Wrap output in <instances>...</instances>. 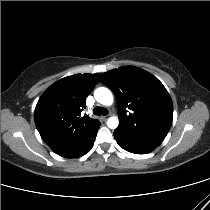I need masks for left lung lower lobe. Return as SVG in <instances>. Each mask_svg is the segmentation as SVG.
Returning <instances> with one entry per match:
<instances>
[{
	"mask_svg": "<svg viewBox=\"0 0 210 210\" xmlns=\"http://www.w3.org/2000/svg\"><path fill=\"white\" fill-rule=\"evenodd\" d=\"M115 140L124 150L135 154H146L153 151L157 146L152 144H145L134 142L125 138L119 137L114 134Z\"/></svg>",
	"mask_w": 210,
	"mask_h": 210,
	"instance_id": "obj_1",
	"label": "left lung lower lobe"
}]
</instances>
